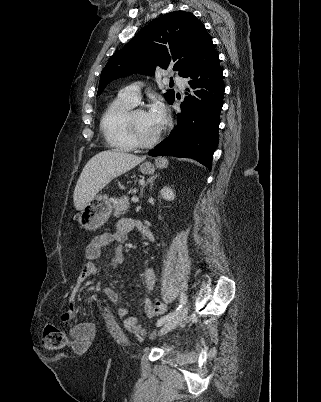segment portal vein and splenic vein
Segmentation results:
<instances>
[{
    "label": "portal vein and splenic vein",
    "instance_id": "1",
    "mask_svg": "<svg viewBox=\"0 0 321 402\" xmlns=\"http://www.w3.org/2000/svg\"><path fill=\"white\" fill-rule=\"evenodd\" d=\"M131 201L134 202V203H137V202L139 201V199H138V197L133 196V197L131 198Z\"/></svg>",
    "mask_w": 321,
    "mask_h": 402
}]
</instances>
